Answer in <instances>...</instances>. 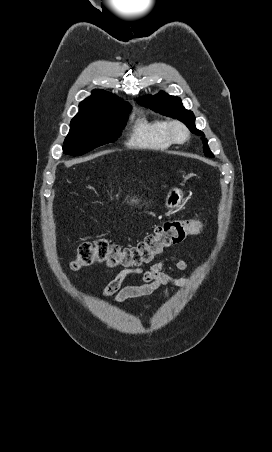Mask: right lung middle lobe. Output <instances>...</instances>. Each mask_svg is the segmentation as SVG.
Here are the masks:
<instances>
[{
	"label": "right lung middle lobe",
	"instance_id": "1",
	"mask_svg": "<svg viewBox=\"0 0 272 452\" xmlns=\"http://www.w3.org/2000/svg\"><path fill=\"white\" fill-rule=\"evenodd\" d=\"M130 110L131 106L124 104L97 116L71 121L70 132L63 145L64 154L79 156L94 148L114 142L119 137Z\"/></svg>",
	"mask_w": 272,
	"mask_h": 452
}]
</instances>
